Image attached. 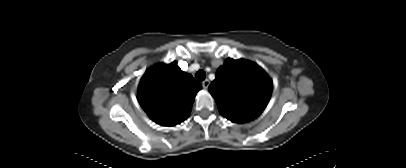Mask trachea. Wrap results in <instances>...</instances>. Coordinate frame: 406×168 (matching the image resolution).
<instances>
[{"instance_id":"1","label":"trachea","mask_w":406,"mask_h":168,"mask_svg":"<svg viewBox=\"0 0 406 168\" xmlns=\"http://www.w3.org/2000/svg\"><path fill=\"white\" fill-rule=\"evenodd\" d=\"M196 79L199 81H203L206 78V73L203 70H199L196 75Z\"/></svg>"}]
</instances>
